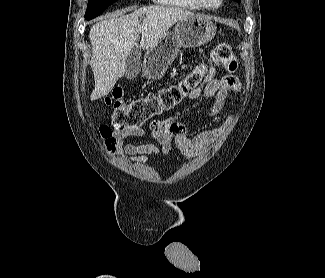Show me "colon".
<instances>
[{
    "label": "colon",
    "instance_id": "colon-1",
    "mask_svg": "<svg viewBox=\"0 0 325 278\" xmlns=\"http://www.w3.org/2000/svg\"><path fill=\"white\" fill-rule=\"evenodd\" d=\"M211 57L228 73H235L238 69V59L227 43H219L214 48ZM204 71L203 66H196L178 83L162 87L156 92L149 93L146 97L130 103L123 100L121 89H114L105 98V103L111 112L113 130L140 129L148 121L172 110L200 83ZM99 132L105 140L106 149L111 150L114 145L112 129L103 125L99 127Z\"/></svg>",
    "mask_w": 325,
    "mask_h": 278
}]
</instances>
